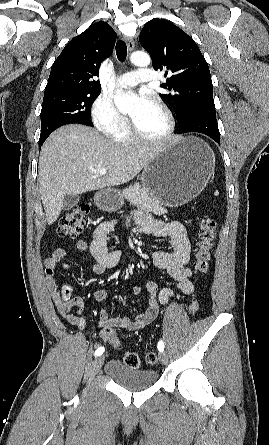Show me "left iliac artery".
Masks as SVG:
<instances>
[{
    "label": "left iliac artery",
    "instance_id": "obj_1",
    "mask_svg": "<svg viewBox=\"0 0 269 445\" xmlns=\"http://www.w3.org/2000/svg\"><path fill=\"white\" fill-rule=\"evenodd\" d=\"M157 347H158V350H159L160 352H162V351L164 350V343L160 340V341L158 342Z\"/></svg>",
    "mask_w": 269,
    "mask_h": 445
}]
</instances>
